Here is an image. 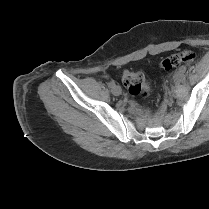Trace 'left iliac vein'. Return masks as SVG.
Wrapping results in <instances>:
<instances>
[{
  "mask_svg": "<svg viewBox=\"0 0 209 209\" xmlns=\"http://www.w3.org/2000/svg\"><path fill=\"white\" fill-rule=\"evenodd\" d=\"M181 77H182L181 74L177 72V73H175L174 76H173V81H174V82H179L180 79H181Z\"/></svg>",
  "mask_w": 209,
  "mask_h": 209,
  "instance_id": "left-iliac-vein-1",
  "label": "left iliac vein"
}]
</instances>
